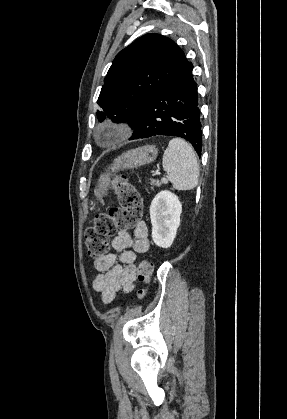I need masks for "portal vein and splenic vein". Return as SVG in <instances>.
<instances>
[{
	"label": "portal vein and splenic vein",
	"instance_id": "portal-vein-and-splenic-vein-1",
	"mask_svg": "<svg viewBox=\"0 0 287 419\" xmlns=\"http://www.w3.org/2000/svg\"><path fill=\"white\" fill-rule=\"evenodd\" d=\"M158 174H159V170H157V171L155 172V175H158ZM162 182L166 183V182H167V179H166V178H163V179H162Z\"/></svg>",
	"mask_w": 287,
	"mask_h": 419
}]
</instances>
